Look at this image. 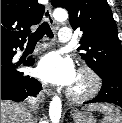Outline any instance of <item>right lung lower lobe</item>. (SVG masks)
Listing matches in <instances>:
<instances>
[{
    "instance_id": "98d812e1",
    "label": "right lung lower lobe",
    "mask_w": 122,
    "mask_h": 123,
    "mask_svg": "<svg viewBox=\"0 0 122 123\" xmlns=\"http://www.w3.org/2000/svg\"><path fill=\"white\" fill-rule=\"evenodd\" d=\"M22 49L23 44L1 45V99L12 101H23L29 96H35L42 90L38 80L24 75L18 71L19 64H13L12 58L16 54L17 48ZM35 63L33 58L24 62L26 66Z\"/></svg>"
}]
</instances>
